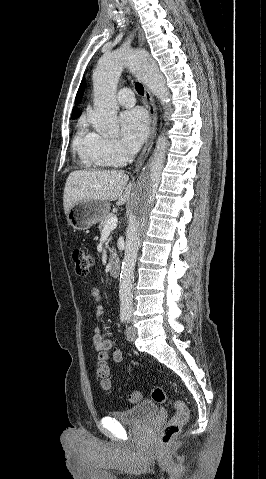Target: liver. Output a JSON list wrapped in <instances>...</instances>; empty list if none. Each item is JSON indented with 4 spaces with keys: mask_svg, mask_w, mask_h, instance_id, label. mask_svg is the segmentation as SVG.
<instances>
[{
    "mask_svg": "<svg viewBox=\"0 0 266 479\" xmlns=\"http://www.w3.org/2000/svg\"><path fill=\"white\" fill-rule=\"evenodd\" d=\"M129 177L118 170H77L72 171L65 183L63 207L67 215L80 200L115 201L124 205L129 201L132 183Z\"/></svg>",
    "mask_w": 266,
    "mask_h": 479,
    "instance_id": "obj_1",
    "label": "liver"
}]
</instances>
